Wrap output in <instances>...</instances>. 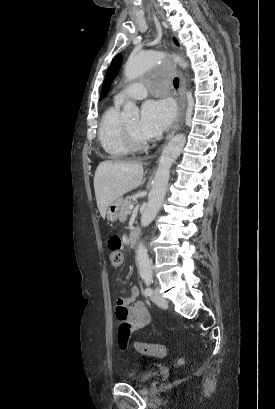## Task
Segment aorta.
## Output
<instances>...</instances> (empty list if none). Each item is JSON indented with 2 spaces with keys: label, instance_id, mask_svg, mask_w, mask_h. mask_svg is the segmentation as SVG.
I'll return each instance as SVG.
<instances>
[{
  "label": "aorta",
  "instance_id": "1",
  "mask_svg": "<svg viewBox=\"0 0 275 409\" xmlns=\"http://www.w3.org/2000/svg\"><path fill=\"white\" fill-rule=\"evenodd\" d=\"M167 57V51H129L128 60L124 68L125 76L128 80H133V78H137V76H140V74H143V72L147 70L146 65H160L161 60H167ZM172 58L176 64H179L182 68H186L187 62L183 60L182 56L172 54ZM121 118H123V120H130V118H132V120H139V108L134 100H127V102H125L121 112ZM185 144L186 136L183 132H180V134H175V136L167 142L166 146H164L159 158L158 168L153 178L152 190L149 194L147 207L141 217L142 227H148L153 219H155L167 190L170 168L174 160L178 158ZM136 253L141 279L151 281V263L142 243L138 245Z\"/></svg>",
  "mask_w": 275,
  "mask_h": 409
}]
</instances>
